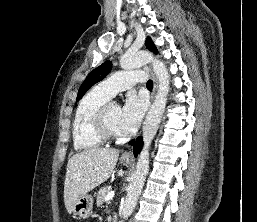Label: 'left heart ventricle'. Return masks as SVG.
Masks as SVG:
<instances>
[{"label": "left heart ventricle", "mask_w": 257, "mask_h": 222, "mask_svg": "<svg viewBox=\"0 0 257 222\" xmlns=\"http://www.w3.org/2000/svg\"><path fill=\"white\" fill-rule=\"evenodd\" d=\"M120 117H121V107L116 104L111 108L109 113V126L113 131L117 133H120L118 129V123H119Z\"/></svg>", "instance_id": "obj_1"}]
</instances>
